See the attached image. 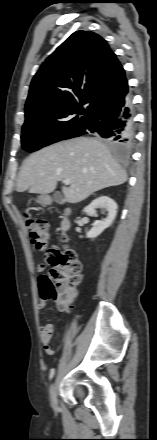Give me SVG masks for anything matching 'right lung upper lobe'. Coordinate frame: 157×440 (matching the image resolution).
I'll return each mask as SVG.
<instances>
[{"label": "right lung upper lobe", "mask_w": 157, "mask_h": 440, "mask_svg": "<svg viewBox=\"0 0 157 440\" xmlns=\"http://www.w3.org/2000/svg\"><path fill=\"white\" fill-rule=\"evenodd\" d=\"M129 96L125 71L107 42L76 31L41 65L25 105V122L85 125Z\"/></svg>", "instance_id": "right-lung-upper-lobe-1"}]
</instances>
